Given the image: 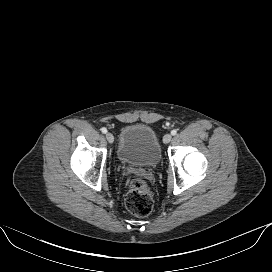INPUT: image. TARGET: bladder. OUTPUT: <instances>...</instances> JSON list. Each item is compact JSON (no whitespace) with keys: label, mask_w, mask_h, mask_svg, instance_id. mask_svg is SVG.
<instances>
[{"label":"bladder","mask_w":272,"mask_h":272,"mask_svg":"<svg viewBox=\"0 0 272 272\" xmlns=\"http://www.w3.org/2000/svg\"><path fill=\"white\" fill-rule=\"evenodd\" d=\"M161 146L155 131L144 124L126 126L117 149L118 159L135 167H155L161 160Z\"/></svg>","instance_id":"bladder-1"}]
</instances>
